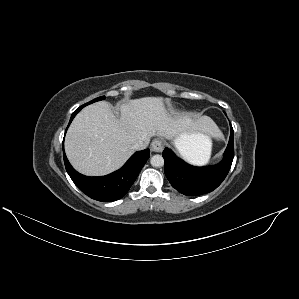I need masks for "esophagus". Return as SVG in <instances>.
Wrapping results in <instances>:
<instances>
[{
  "label": "esophagus",
  "instance_id": "1",
  "mask_svg": "<svg viewBox=\"0 0 299 299\" xmlns=\"http://www.w3.org/2000/svg\"><path fill=\"white\" fill-rule=\"evenodd\" d=\"M164 147V142L160 138H156L151 143V150L154 152H161Z\"/></svg>",
  "mask_w": 299,
  "mask_h": 299
}]
</instances>
